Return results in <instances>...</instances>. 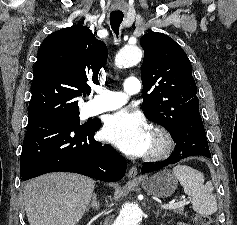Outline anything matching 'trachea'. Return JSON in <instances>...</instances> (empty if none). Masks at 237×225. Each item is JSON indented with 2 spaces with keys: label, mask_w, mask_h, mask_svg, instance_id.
I'll list each match as a JSON object with an SVG mask.
<instances>
[{
  "label": "trachea",
  "mask_w": 237,
  "mask_h": 225,
  "mask_svg": "<svg viewBox=\"0 0 237 225\" xmlns=\"http://www.w3.org/2000/svg\"><path fill=\"white\" fill-rule=\"evenodd\" d=\"M124 15L122 13L111 12L110 13V24L112 30L116 35L119 33V27L123 20Z\"/></svg>",
  "instance_id": "1"
}]
</instances>
